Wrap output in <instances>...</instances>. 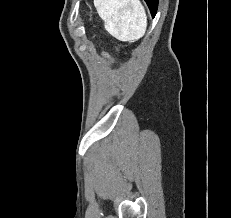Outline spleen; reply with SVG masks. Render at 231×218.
Listing matches in <instances>:
<instances>
[{"instance_id": "spleen-1", "label": "spleen", "mask_w": 231, "mask_h": 218, "mask_svg": "<svg viewBox=\"0 0 231 218\" xmlns=\"http://www.w3.org/2000/svg\"><path fill=\"white\" fill-rule=\"evenodd\" d=\"M105 29L120 41H134L147 28L145 9L139 0H94Z\"/></svg>"}]
</instances>
